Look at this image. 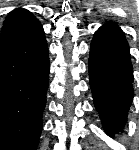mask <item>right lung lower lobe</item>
<instances>
[{"mask_svg":"<svg viewBox=\"0 0 139 150\" xmlns=\"http://www.w3.org/2000/svg\"><path fill=\"white\" fill-rule=\"evenodd\" d=\"M48 77L42 25L21 11L4 23L0 35V150H36Z\"/></svg>","mask_w":139,"mask_h":150,"instance_id":"1","label":"right lung lower lobe"}]
</instances>
